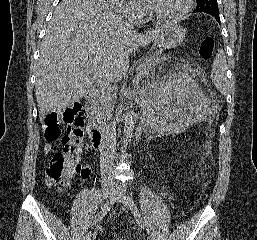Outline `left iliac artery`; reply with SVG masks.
Segmentation results:
<instances>
[{
    "label": "left iliac artery",
    "mask_w": 257,
    "mask_h": 240,
    "mask_svg": "<svg viewBox=\"0 0 257 240\" xmlns=\"http://www.w3.org/2000/svg\"><path fill=\"white\" fill-rule=\"evenodd\" d=\"M128 204H129V207H130V210L132 211L137 223L142 227L144 228V223H143V219L141 217V214L136 206V204L134 203V200L132 199L131 196L128 197Z\"/></svg>",
    "instance_id": "1"
}]
</instances>
